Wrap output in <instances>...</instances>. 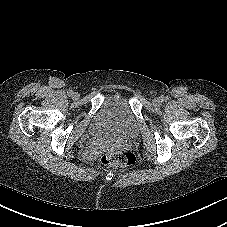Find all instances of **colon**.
<instances>
[{
	"instance_id": "colon-1",
	"label": "colon",
	"mask_w": 227,
	"mask_h": 227,
	"mask_svg": "<svg viewBox=\"0 0 227 227\" xmlns=\"http://www.w3.org/2000/svg\"><path fill=\"white\" fill-rule=\"evenodd\" d=\"M101 161L111 167H127L135 162V156L129 151H114L102 155Z\"/></svg>"
}]
</instances>
